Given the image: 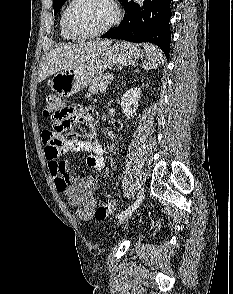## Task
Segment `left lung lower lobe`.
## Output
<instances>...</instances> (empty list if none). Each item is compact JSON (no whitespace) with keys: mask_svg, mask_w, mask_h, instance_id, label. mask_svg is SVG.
<instances>
[{"mask_svg":"<svg viewBox=\"0 0 233 294\" xmlns=\"http://www.w3.org/2000/svg\"><path fill=\"white\" fill-rule=\"evenodd\" d=\"M125 16L120 25L101 38L122 39L131 42H150L158 45L169 58L171 33V0H146L141 9L133 1L122 0Z\"/></svg>","mask_w":233,"mask_h":294,"instance_id":"1","label":"left lung lower lobe"}]
</instances>
